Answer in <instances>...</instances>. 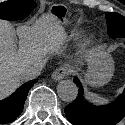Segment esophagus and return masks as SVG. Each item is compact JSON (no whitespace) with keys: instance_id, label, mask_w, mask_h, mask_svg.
<instances>
[{"instance_id":"esophagus-1","label":"esophagus","mask_w":125,"mask_h":125,"mask_svg":"<svg viewBox=\"0 0 125 125\" xmlns=\"http://www.w3.org/2000/svg\"><path fill=\"white\" fill-rule=\"evenodd\" d=\"M70 73V70L67 67H59L57 68L53 74L52 78L55 81H60L62 80L65 76H67Z\"/></svg>"}]
</instances>
